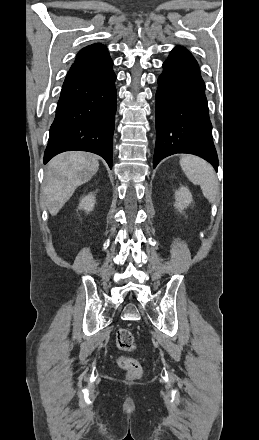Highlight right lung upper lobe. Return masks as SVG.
Wrapping results in <instances>:
<instances>
[{
	"label": "right lung upper lobe",
	"instance_id": "cb5924a9",
	"mask_svg": "<svg viewBox=\"0 0 259 440\" xmlns=\"http://www.w3.org/2000/svg\"><path fill=\"white\" fill-rule=\"evenodd\" d=\"M109 54L107 48L102 44H92L84 47L76 56L75 63L100 58Z\"/></svg>",
	"mask_w": 259,
	"mask_h": 440
}]
</instances>
